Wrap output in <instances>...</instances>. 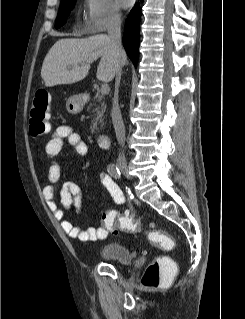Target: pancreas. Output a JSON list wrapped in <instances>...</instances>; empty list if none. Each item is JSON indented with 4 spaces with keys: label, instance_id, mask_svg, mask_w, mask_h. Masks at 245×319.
<instances>
[{
    "label": "pancreas",
    "instance_id": "obj_1",
    "mask_svg": "<svg viewBox=\"0 0 245 319\" xmlns=\"http://www.w3.org/2000/svg\"><path fill=\"white\" fill-rule=\"evenodd\" d=\"M93 113V120L91 121V132H99V128L97 126L98 123L103 124L104 120V113L106 111V104L104 102V98L102 95L96 96V101L93 103H90L87 110L89 111L92 109Z\"/></svg>",
    "mask_w": 245,
    "mask_h": 319
}]
</instances>
